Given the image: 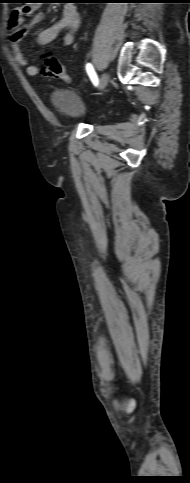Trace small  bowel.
<instances>
[{
	"label": "small bowel",
	"instance_id": "obj_1",
	"mask_svg": "<svg viewBox=\"0 0 190 483\" xmlns=\"http://www.w3.org/2000/svg\"><path fill=\"white\" fill-rule=\"evenodd\" d=\"M37 8L35 5H22L13 9L8 17V35L12 57L19 66L25 68L28 76H36L38 68L29 64L20 43L30 28L44 19L43 12L37 11ZM26 18H29L27 22H25ZM79 26L80 15L76 6L74 4H66L59 20L38 33L37 42L42 45L49 44L60 33H63L61 43L65 47L69 46L73 43Z\"/></svg>",
	"mask_w": 190,
	"mask_h": 483
}]
</instances>
